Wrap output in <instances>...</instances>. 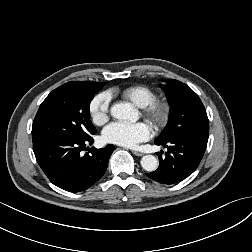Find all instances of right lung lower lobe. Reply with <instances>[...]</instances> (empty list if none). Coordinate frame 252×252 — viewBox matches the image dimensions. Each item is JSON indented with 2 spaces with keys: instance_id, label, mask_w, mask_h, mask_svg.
I'll return each instance as SVG.
<instances>
[{
  "instance_id": "1",
  "label": "right lung lower lobe",
  "mask_w": 252,
  "mask_h": 252,
  "mask_svg": "<svg viewBox=\"0 0 252 252\" xmlns=\"http://www.w3.org/2000/svg\"><path fill=\"white\" fill-rule=\"evenodd\" d=\"M92 142L91 136L83 139L40 137L33 139V151L39 166L54 185L80 192L103 176L115 149L108 144L102 149L91 148L83 155V149Z\"/></svg>"
}]
</instances>
